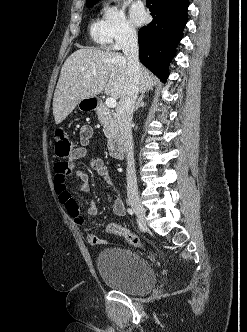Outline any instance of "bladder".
Here are the masks:
<instances>
[{"label":"bladder","instance_id":"bladder-1","mask_svg":"<svg viewBox=\"0 0 247 332\" xmlns=\"http://www.w3.org/2000/svg\"><path fill=\"white\" fill-rule=\"evenodd\" d=\"M97 269L107 286L126 294H144L156 284V273L149 261L127 248L102 250L97 256Z\"/></svg>","mask_w":247,"mask_h":332}]
</instances>
